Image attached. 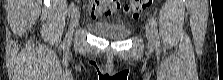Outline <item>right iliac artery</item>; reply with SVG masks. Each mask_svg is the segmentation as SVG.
Here are the masks:
<instances>
[{
    "instance_id": "obj_1",
    "label": "right iliac artery",
    "mask_w": 223,
    "mask_h": 80,
    "mask_svg": "<svg viewBox=\"0 0 223 80\" xmlns=\"http://www.w3.org/2000/svg\"><path fill=\"white\" fill-rule=\"evenodd\" d=\"M76 9V5L72 3L69 7V16L73 13V11Z\"/></svg>"
}]
</instances>
